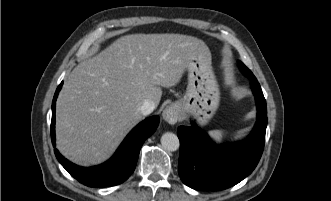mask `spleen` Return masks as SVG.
Wrapping results in <instances>:
<instances>
[{
	"instance_id": "spleen-1",
	"label": "spleen",
	"mask_w": 331,
	"mask_h": 201,
	"mask_svg": "<svg viewBox=\"0 0 331 201\" xmlns=\"http://www.w3.org/2000/svg\"><path fill=\"white\" fill-rule=\"evenodd\" d=\"M208 135L214 142L220 144L223 142V139L226 136V132L223 130H211L208 132Z\"/></svg>"
}]
</instances>
